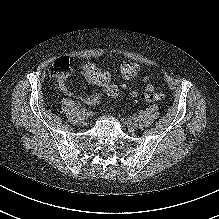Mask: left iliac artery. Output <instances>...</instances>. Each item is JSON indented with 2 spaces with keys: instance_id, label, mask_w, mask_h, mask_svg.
<instances>
[{
  "instance_id": "obj_1",
  "label": "left iliac artery",
  "mask_w": 219,
  "mask_h": 219,
  "mask_svg": "<svg viewBox=\"0 0 219 219\" xmlns=\"http://www.w3.org/2000/svg\"><path fill=\"white\" fill-rule=\"evenodd\" d=\"M133 120H134V121H137V120H138L137 116L134 115V116H133Z\"/></svg>"
}]
</instances>
